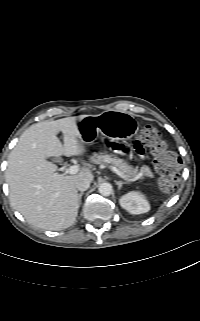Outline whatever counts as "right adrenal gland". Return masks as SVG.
Here are the masks:
<instances>
[{
    "label": "right adrenal gland",
    "instance_id": "2a0ac1e0",
    "mask_svg": "<svg viewBox=\"0 0 200 321\" xmlns=\"http://www.w3.org/2000/svg\"><path fill=\"white\" fill-rule=\"evenodd\" d=\"M84 194V192H80L78 194V199H79V205L81 204V199H82V195Z\"/></svg>",
    "mask_w": 200,
    "mask_h": 321
}]
</instances>
